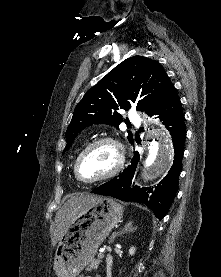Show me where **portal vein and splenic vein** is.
I'll list each match as a JSON object with an SVG mask.
<instances>
[{"label":"portal vein and splenic vein","instance_id":"1","mask_svg":"<svg viewBox=\"0 0 221 277\" xmlns=\"http://www.w3.org/2000/svg\"><path fill=\"white\" fill-rule=\"evenodd\" d=\"M98 256L101 257V258H103V257H104L103 252L100 251L99 254H98Z\"/></svg>","mask_w":221,"mask_h":277}]
</instances>
